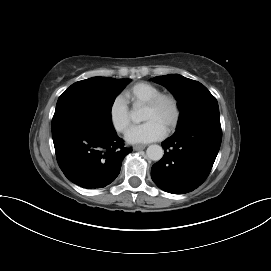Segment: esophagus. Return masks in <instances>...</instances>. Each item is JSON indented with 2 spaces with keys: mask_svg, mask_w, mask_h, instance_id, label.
Returning a JSON list of instances; mask_svg holds the SVG:
<instances>
[{
  "mask_svg": "<svg viewBox=\"0 0 271 271\" xmlns=\"http://www.w3.org/2000/svg\"><path fill=\"white\" fill-rule=\"evenodd\" d=\"M145 147H146V145H135V146L133 147V149H134L135 151H139V150L145 149Z\"/></svg>",
  "mask_w": 271,
  "mask_h": 271,
  "instance_id": "1",
  "label": "esophagus"
}]
</instances>
